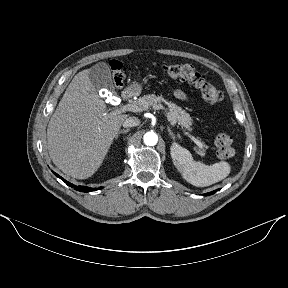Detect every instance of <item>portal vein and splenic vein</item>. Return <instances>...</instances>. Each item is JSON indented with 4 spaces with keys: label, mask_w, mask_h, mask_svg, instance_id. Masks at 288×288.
Listing matches in <instances>:
<instances>
[{
    "label": "portal vein and splenic vein",
    "mask_w": 288,
    "mask_h": 288,
    "mask_svg": "<svg viewBox=\"0 0 288 288\" xmlns=\"http://www.w3.org/2000/svg\"><path fill=\"white\" fill-rule=\"evenodd\" d=\"M155 109H163L165 111V114L167 115L168 119L172 121L173 124H175L176 122L173 120V118L171 117V115L166 112V109L162 106V105H155L154 106ZM125 111H131V112H140L142 111L141 108L135 104V103H130V104H126L124 106H122L121 108H117L113 111V114H120L122 112ZM188 137L194 142L196 143L198 146H202L201 142L199 140H197L194 136L187 134Z\"/></svg>",
    "instance_id": "18ae733b"
}]
</instances>
